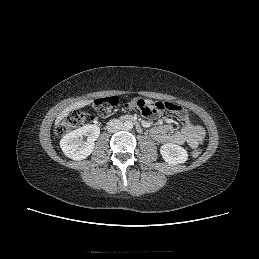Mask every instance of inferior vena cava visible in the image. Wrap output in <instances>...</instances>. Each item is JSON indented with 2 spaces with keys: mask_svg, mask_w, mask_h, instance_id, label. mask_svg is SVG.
I'll return each instance as SVG.
<instances>
[{
  "mask_svg": "<svg viewBox=\"0 0 259 259\" xmlns=\"http://www.w3.org/2000/svg\"><path fill=\"white\" fill-rule=\"evenodd\" d=\"M123 124L120 120L118 119H112L107 123V130L110 133H115L117 131H119L120 129H122Z\"/></svg>",
  "mask_w": 259,
  "mask_h": 259,
  "instance_id": "602c4592",
  "label": "inferior vena cava"
}]
</instances>
